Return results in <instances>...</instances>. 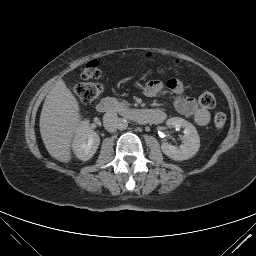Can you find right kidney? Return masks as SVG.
I'll list each match as a JSON object with an SVG mask.
<instances>
[{"instance_id":"obj_1","label":"right kidney","mask_w":256,"mask_h":256,"mask_svg":"<svg viewBox=\"0 0 256 256\" xmlns=\"http://www.w3.org/2000/svg\"><path fill=\"white\" fill-rule=\"evenodd\" d=\"M88 124V121L80 123L72 144L75 155L83 161L93 157L100 143L99 135Z\"/></svg>"}]
</instances>
